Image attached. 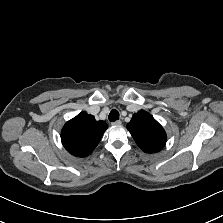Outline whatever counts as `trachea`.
<instances>
[{
    "label": "trachea",
    "instance_id": "3493384b",
    "mask_svg": "<svg viewBox=\"0 0 223 223\" xmlns=\"http://www.w3.org/2000/svg\"><path fill=\"white\" fill-rule=\"evenodd\" d=\"M120 115H119V112L116 110V109H113L110 114H109V117L108 119L111 121V122H114V121H117L119 119Z\"/></svg>",
    "mask_w": 223,
    "mask_h": 223
}]
</instances>
